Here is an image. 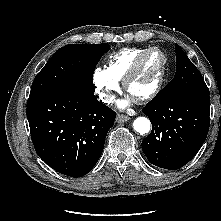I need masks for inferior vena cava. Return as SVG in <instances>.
I'll list each match as a JSON object with an SVG mask.
<instances>
[{
    "label": "inferior vena cava",
    "mask_w": 221,
    "mask_h": 221,
    "mask_svg": "<svg viewBox=\"0 0 221 221\" xmlns=\"http://www.w3.org/2000/svg\"><path fill=\"white\" fill-rule=\"evenodd\" d=\"M100 98L102 99L103 102L110 104L111 102H113V95L111 94H103L100 96Z\"/></svg>",
    "instance_id": "obj_1"
}]
</instances>
